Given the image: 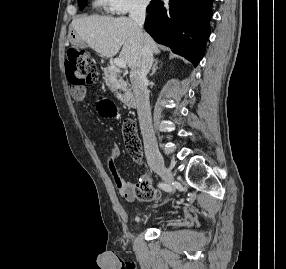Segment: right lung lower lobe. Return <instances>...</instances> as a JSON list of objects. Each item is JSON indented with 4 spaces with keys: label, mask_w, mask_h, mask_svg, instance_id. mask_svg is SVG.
<instances>
[{
    "label": "right lung lower lobe",
    "mask_w": 286,
    "mask_h": 269,
    "mask_svg": "<svg viewBox=\"0 0 286 269\" xmlns=\"http://www.w3.org/2000/svg\"><path fill=\"white\" fill-rule=\"evenodd\" d=\"M213 0H153L147 7L145 30L196 67L210 35Z\"/></svg>",
    "instance_id": "right-lung-lower-lobe-1"
}]
</instances>
